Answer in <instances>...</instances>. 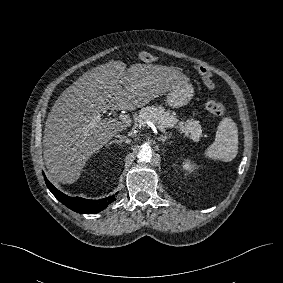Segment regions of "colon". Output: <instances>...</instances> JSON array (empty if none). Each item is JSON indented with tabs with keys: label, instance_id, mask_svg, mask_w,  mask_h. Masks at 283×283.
I'll list each match as a JSON object with an SVG mask.
<instances>
[{
	"label": "colon",
	"instance_id": "5ec220e1",
	"mask_svg": "<svg viewBox=\"0 0 283 283\" xmlns=\"http://www.w3.org/2000/svg\"><path fill=\"white\" fill-rule=\"evenodd\" d=\"M139 58L144 62H153L156 60V56L147 51L140 52ZM205 107L210 113L214 114L215 116L223 117L226 114L225 107L217 101L208 100L205 104Z\"/></svg>",
	"mask_w": 283,
	"mask_h": 283
}]
</instances>
